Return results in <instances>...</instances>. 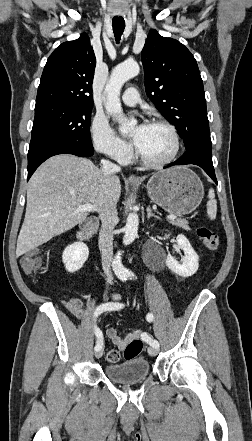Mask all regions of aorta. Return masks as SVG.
Listing matches in <instances>:
<instances>
[{
    "label": "aorta",
    "mask_w": 252,
    "mask_h": 441,
    "mask_svg": "<svg viewBox=\"0 0 252 441\" xmlns=\"http://www.w3.org/2000/svg\"><path fill=\"white\" fill-rule=\"evenodd\" d=\"M140 67L135 61H125L117 65L110 76V79L105 87L107 94V102L105 105L106 111L113 116L121 117L123 114L120 92L125 82L139 74ZM136 124L135 120L130 122L122 121L119 130L123 134H128L131 128ZM139 218L137 213H130L127 217L125 226V235L123 237V244L128 245L132 243L138 233ZM112 267L114 272L119 277H125L128 275V270L122 264L121 253L118 252L113 261Z\"/></svg>",
    "instance_id": "obj_1"
}]
</instances>
